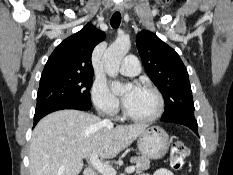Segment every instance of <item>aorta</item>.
<instances>
[{
	"label": "aorta",
	"instance_id": "762f6f07",
	"mask_svg": "<svg viewBox=\"0 0 233 175\" xmlns=\"http://www.w3.org/2000/svg\"><path fill=\"white\" fill-rule=\"evenodd\" d=\"M131 43L129 40H117L108 47L104 53V68L110 77H116L119 72L120 64L124 56L128 53ZM126 85L122 90L129 88Z\"/></svg>",
	"mask_w": 233,
	"mask_h": 175
}]
</instances>
